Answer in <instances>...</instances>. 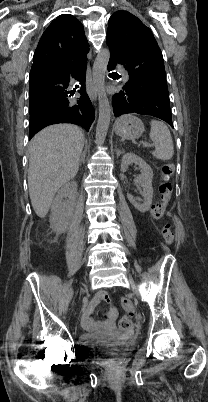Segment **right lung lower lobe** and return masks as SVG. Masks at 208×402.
Masks as SVG:
<instances>
[{
  "mask_svg": "<svg viewBox=\"0 0 208 402\" xmlns=\"http://www.w3.org/2000/svg\"><path fill=\"white\" fill-rule=\"evenodd\" d=\"M87 53L77 58L67 72L53 71L30 75V94H43L48 97L41 100L40 106L43 109L30 114L29 139L44 127L57 123H72L89 131L95 112L85 91ZM72 77L81 82V97L75 103L69 99L72 94L67 91Z\"/></svg>",
  "mask_w": 208,
  "mask_h": 402,
  "instance_id": "right-lung-lower-lobe-1",
  "label": "right lung lower lobe"
}]
</instances>
